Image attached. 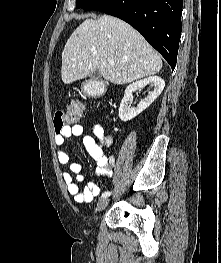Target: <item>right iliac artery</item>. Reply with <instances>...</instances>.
Here are the masks:
<instances>
[{
	"instance_id": "obj_1",
	"label": "right iliac artery",
	"mask_w": 221,
	"mask_h": 263,
	"mask_svg": "<svg viewBox=\"0 0 221 263\" xmlns=\"http://www.w3.org/2000/svg\"><path fill=\"white\" fill-rule=\"evenodd\" d=\"M111 195L110 191H105L104 193H102V197H108Z\"/></svg>"
}]
</instances>
